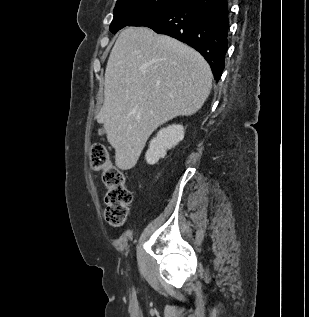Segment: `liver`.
I'll use <instances>...</instances> for the list:
<instances>
[{"label": "liver", "mask_w": 309, "mask_h": 317, "mask_svg": "<svg viewBox=\"0 0 309 317\" xmlns=\"http://www.w3.org/2000/svg\"><path fill=\"white\" fill-rule=\"evenodd\" d=\"M211 87V69L197 51L146 27L125 28L107 62L104 103L96 116L117 167H134L154 130L195 114Z\"/></svg>", "instance_id": "liver-1"}]
</instances>
